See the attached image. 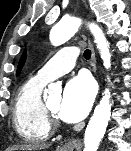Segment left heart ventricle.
I'll return each instance as SVG.
<instances>
[{
    "label": "left heart ventricle",
    "instance_id": "left-heart-ventricle-1",
    "mask_svg": "<svg viewBox=\"0 0 131 151\" xmlns=\"http://www.w3.org/2000/svg\"><path fill=\"white\" fill-rule=\"evenodd\" d=\"M61 100V96H55L48 100L47 104L55 113H58Z\"/></svg>",
    "mask_w": 131,
    "mask_h": 151
}]
</instances>
